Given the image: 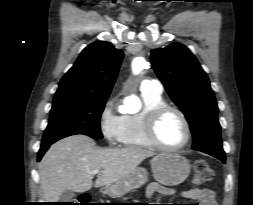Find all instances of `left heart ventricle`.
I'll return each instance as SVG.
<instances>
[{"label":"left heart ventricle","mask_w":253,"mask_h":205,"mask_svg":"<svg viewBox=\"0 0 253 205\" xmlns=\"http://www.w3.org/2000/svg\"><path fill=\"white\" fill-rule=\"evenodd\" d=\"M159 140L167 146L181 144L186 138V129L183 121L176 113L166 114L160 121L157 129Z\"/></svg>","instance_id":"obj_1"}]
</instances>
